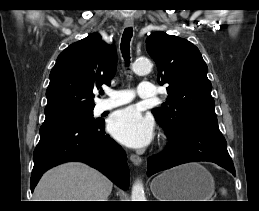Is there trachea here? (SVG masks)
<instances>
[{
	"mask_svg": "<svg viewBox=\"0 0 259 211\" xmlns=\"http://www.w3.org/2000/svg\"><path fill=\"white\" fill-rule=\"evenodd\" d=\"M133 36V29L131 27H128L124 30L122 39H121V52L123 55L124 60L126 61V64H129L130 61V41ZM101 95L104 94V92H100Z\"/></svg>",
	"mask_w": 259,
	"mask_h": 211,
	"instance_id": "1",
	"label": "trachea"
}]
</instances>
